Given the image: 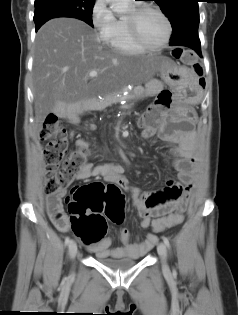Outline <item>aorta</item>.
I'll return each mask as SVG.
<instances>
[{"instance_id":"aorta-1","label":"aorta","mask_w":238,"mask_h":315,"mask_svg":"<svg viewBox=\"0 0 238 315\" xmlns=\"http://www.w3.org/2000/svg\"><path fill=\"white\" fill-rule=\"evenodd\" d=\"M110 3L111 9L117 13L127 12L129 9V0H106Z\"/></svg>"}]
</instances>
